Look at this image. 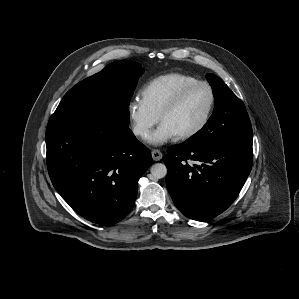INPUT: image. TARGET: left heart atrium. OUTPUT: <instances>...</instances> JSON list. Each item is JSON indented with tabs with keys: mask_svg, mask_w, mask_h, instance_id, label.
<instances>
[{
	"mask_svg": "<svg viewBox=\"0 0 299 299\" xmlns=\"http://www.w3.org/2000/svg\"><path fill=\"white\" fill-rule=\"evenodd\" d=\"M177 136L178 134L170 126L161 122L157 129L148 137V142L153 145H162L175 139Z\"/></svg>",
	"mask_w": 299,
	"mask_h": 299,
	"instance_id": "39dd6f15",
	"label": "left heart atrium"
}]
</instances>
